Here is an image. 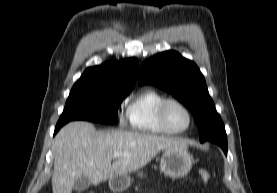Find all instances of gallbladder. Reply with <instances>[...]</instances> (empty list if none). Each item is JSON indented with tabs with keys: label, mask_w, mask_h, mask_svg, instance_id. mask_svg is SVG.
<instances>
[{
	"label": "gallbladder",
	"mask_w": 277,
	"mask_h": 193,
	"mask_svg": "<svg viewBox=\"0 0 277 193\" xmlns=\"http://www.w3.org/2000/svg\"><path fill=\"white\" fill-rule=\"evenodd\" d=\"M90 185H91V183H90L89 179L85 176H81L75 180L73 189L78 192H81V191L87 190L90 187Z\"/></svg>",
	"instance_id": "1"
}]
</instances>
